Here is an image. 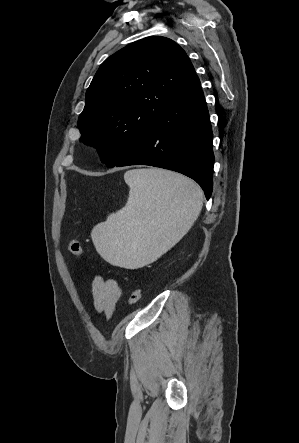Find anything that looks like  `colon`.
I'll return each instance as SVG.
<instances>
[{
  "label": "colon",
  "mask_w": 299,
  "mask_h": 443,
  "mask_svg": "<svg viewBox=\"0 0 299 443\" xmlns=\"http://www.w3.org/2000/svg\"><path fill=\"white\" fill-rule=\"evenodd\" d=\"M69 250L72 254L76 255V256H82L83 255V249L81 244L79 243L78 240L71 238L69 240ZM141 290L139 288L133 289L130 293L129 296V303L130 304H136L140 301L141 299Z\"/></svg>",
  "instance_id": "1"
}]
</instances>
